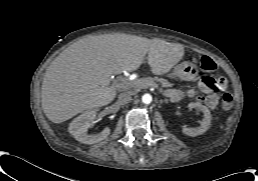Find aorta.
<instances>
[{"label":"aorta","instance_id":"1","mask_svg":"<svg viewBox=\"0 0 258 181\" xmlns=\"http://www.w3.org/2000/svg\"><path fill=\"white\" fill-rule=\"evenodd\" d=\"M142 102L144 104H150L152 102V96L150 94H144L142 96Z\"/></svg>","mask_w":258,"mask_h":181}]
</instances>
